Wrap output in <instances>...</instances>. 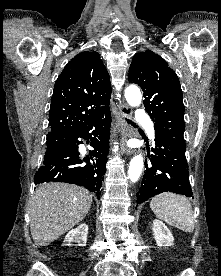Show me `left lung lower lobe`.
Wrapping results in <instances>:
<instances>
[{
  "label": "left lung lower lobe",
  "mask_w": 221,
  "mask_h": 276,
  "mask_svg": "<svg viewBox=\"0 0 221 276\" xmlns=\"http://www.w3.org/2000/svg\"><path fill=\"white\" fill-rule=\"evenodd\" d=\"M154 154L148 155L146 171L137 195V205L162 192L170 191L190 197L186 145L172 137L155 133Z\"/></svg>",
  "instance_id": "obj_1"
}]
</instances>
